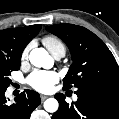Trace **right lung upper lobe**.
<instances>
[{"label":"right lung upper lobe","mask_w":119,"mask_h":119,"mask_svg":"<svg viewBox=\"0 0 119 119\" xmlns=\"http://www.w3.org/2000/svg\"><path fill=\"white\" fill-rule=\"evenodd\" d=\"M41 25H31L0 31V61L20 62L26 45L38 34Z\"/></svg>","instance_id":"1"}]
</instances>
